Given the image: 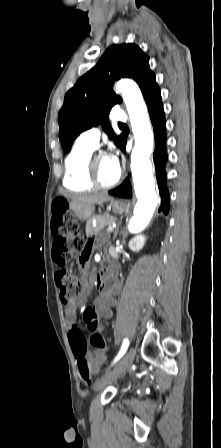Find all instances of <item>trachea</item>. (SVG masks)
<instances>
[{"label": "trachea", "mask_w": 221, "mask_h": 448, "mask_svg": "<svg viewBox=\"0 0 221 448\" xmlns=\"http://www.w3.org/2000/svg\"><path fill=\"white\" fill-rule=\"evenodd\" d=\"M118 125H119V127H123V126H126V125H125V124H123V123H119Z\"/></svg>", "instance_id": "3493384b"}]
</instances>
